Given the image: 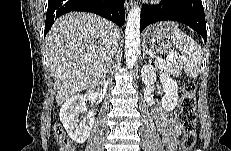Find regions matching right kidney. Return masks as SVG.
<instances>
[{"instance_id":"ca27d5eb","label":"right kidney","mask_w":231,"mask_h":151,"mask_svg":"<svg viewBox=\"0 0 231 151\" xmlns=\"http://www.w3.org/2000/svg\"><path fill=\"white\" fill-rule=\"evenodd\" d=\"M90 96L81 94L74 95L66 100L62 105L59 113L60 121L62 122L69 137L78 144H83L90 135L94 125V114L88 112L82 120H79V113H85L87 106L85 101Z\"/></svg>"}]
</instances>
